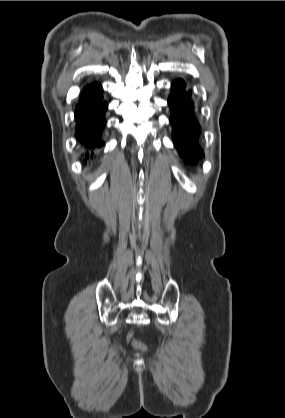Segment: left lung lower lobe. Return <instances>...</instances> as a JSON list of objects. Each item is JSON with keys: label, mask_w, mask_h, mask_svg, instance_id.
Masks as SVG:
<instances>
[{"label": "left lung lower lobe", "mask_w": 285, "mask_h": 418, "mask_svg": "<svg viewBox=\"0 0 285 418\" xmlns=\"http://www.w3.org/2000/svg\"><path fill=\"white\" fill-rule=\"evenodd\" d=\"M168 105L171 109L173 143L184 160L195 164L204 152L198 144L200 127L196 118L192 91L186 88L183 80L178 79L172 83Z\"/></svg>", "instance_id": "left-lung-lower-lobe-1"}]
</instances>
